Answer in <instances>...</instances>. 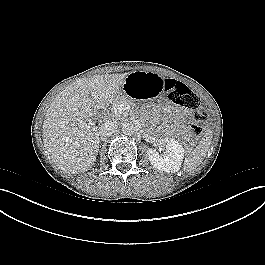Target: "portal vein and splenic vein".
Wrapping results in <instances>:
<instances>
[{
	"mask_svg": "<svg viewBox=\"0 0 265 265\" xmlns=\"http://www.w3.org/2000/svg\"><path fill=\"white\" fill-rule=\"evenodd\" d=\"M125 110H130V106H126L124 104H119L114 108V113L115 114H122Z\"/></svg>",
	"mask_w": 265,
	"mask_h": 265,
	"instance_id": "18ae733b",
	"label": "portal vein and splenic vein"
}]
</instances>
